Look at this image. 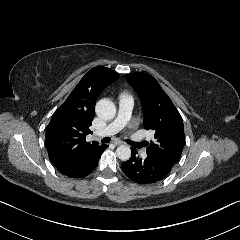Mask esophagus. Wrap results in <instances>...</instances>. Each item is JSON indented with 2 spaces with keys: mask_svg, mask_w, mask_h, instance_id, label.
I'll use <instances>...</instances> for the list:
<instances>
[{
  "mask_svg": "<svg viewBox=\"0 0 240 240\" xmlns=\"http://www.w3.org/2000/svg\"><path fill=\"white\" fill-rule=\"evenodd\" d=\"M115 144L119 145V144H123V142L122 141H116Z\"/></svg>",
  "mask_w": 240,
  "mask_h": 240,
  "instance_id": "1",
  "label": "esophagus"
}]
</instances>
